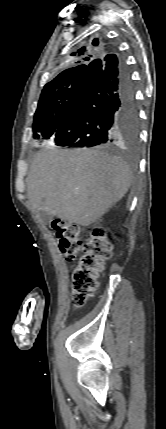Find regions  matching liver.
Here are the masks:
<instances>
[{"label":"liver","instance_id":"liver-1","mask_svg":"<svg viewBox=\"0 0 166 429\" xmlns=\"http://www.w3.org/2000/svg\"><path fill=\"white\" fill-rule=\"evenodd\" d=\"M128 164L99 149L37 153L27 178L33 210L86 227L121 200L131 186Z\"/></svg>","mask_w":166,"mask_h":429}]
</instances>
